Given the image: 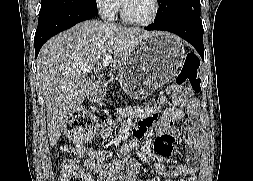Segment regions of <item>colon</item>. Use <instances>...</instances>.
<instances>
[{"mask_svg": "<svg viewBox=\"0 0 253 181\" xmlns=\"http://www.w3.org/2000/svg\"><path fill=\"white\" fill-rule=\"evenodd\" d=\"M198 66V59L194 55H188L177 77V84L184 86L190 92H198L201 88V81L197 76ZM95 129V118L89 112L79 110L68 121L65 135L73 141L82 142L93 135ZM60 181H88V178L71 163L65 166Z\"/></svg>", "mask_w": 253, "mask_h": 181, "instance_id": "1", "label": "colon"}]
</instances>
